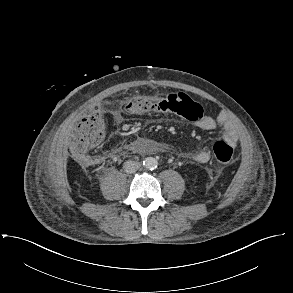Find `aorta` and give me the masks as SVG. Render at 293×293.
Wrapping results in <instances>:
<instances>
[{
    "instance_id": "aorta-1",
    "label": "aorta",
    "mask_w": 293,
    "mask_h": 293,
    "mask_svg": "<svg viewBox=\"0 0 293 293\" xmlns=\"http://www.w3.org/2000/svg\"><path fill=\"white\" fill-rule=\"evenodd\" d=\"M143 166L146 169L153 170V169H156L157 168L158 161L155 158H153V157H147L143 161Z\"/></svg>"
}]
</instances>
